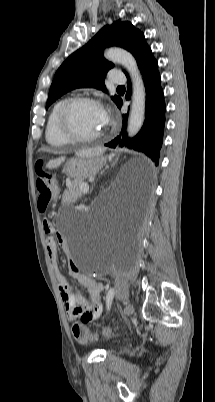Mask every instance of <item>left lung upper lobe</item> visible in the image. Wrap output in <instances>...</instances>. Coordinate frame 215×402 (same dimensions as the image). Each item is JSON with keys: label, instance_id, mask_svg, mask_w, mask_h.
I'll use <instances>...</instances> for the list:
<instances>
[{"label": "left lung upper lobe", "instance_id": "left-lung-upper-lobe-1", "mask_svg": "<svg viewBox=\"0 0 215 402\" xmlns=\"http://www.w3.org/2000/svg\"><path fill=\"white\" fill-rule=\"evenodd\" d=\"M109 45L129 51L135 57L139 68L153 57L144 34L132 23L118 20L106 25L59 67L50 87L46 108L75 88L93 87L107 92L104 78L114 67L113 63L103 57V50ZM111 98L115 103L121 99L117 95Z\"/></svg>", "mask_w": 215, "mask_h": 402}]
</instances>
